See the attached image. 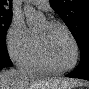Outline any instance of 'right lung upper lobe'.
<instances>
[{
	"label": "right lung upper lobe",
	"mask_w": 89,
	"mask_h": 89,
	"mask_svg": "<svg viewBox=\"0 0 89 89\" xmlns=\"http://www.w3.org/2000/svg\"><path fill=\"white\" fill-rule=\"evenodd\" d=\"M7 2H9L10 6L12 4V0H0V6L3 7V4H7Z\"/></svg>",
	"instance_id": "1"
}]
</instances>
